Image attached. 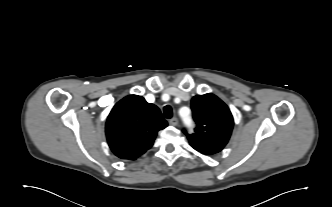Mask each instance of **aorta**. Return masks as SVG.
Instances as JSON below:
<instances>
[{"instance_id": "1", "label": "aorta", "mask_w": 332, "mask_h": 207, "mask_svg": "<svg viewBox=\"0 0 332 207\" xmlns=\"http://www.w3.org/2000/svg\"><path fill=\"white\" fill-rule=\"evenodd\" d=\"M183 119H184L185 122H189L190 121V118L188 116L183 117Z\"/></svg>"}]
</instances>
